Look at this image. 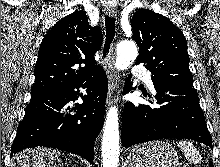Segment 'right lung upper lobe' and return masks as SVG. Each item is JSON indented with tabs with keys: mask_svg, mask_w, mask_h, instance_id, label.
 I'll use <instances>...</instances> for the list:
<instances>
[{
	"mask_svg": "<svg viewBox=\"0 0 220 167\" xmlns=\"http://www.w3.org/2000/svg\"><path fill=\"white\" fill-rule=\"evenodd\" d=\"M103 42L98 26L89 25L84 11H75L59 20L44 36L35 66L31 94L66 87L94 75V54ZM85 64L84 67H76Z\"/></svg>",
	"mask_w": 220,
	"mask_h": 167,
	"instance_id": "right-lung-upper-lobe-1",
	"label": "right lung upper lobe"
}]
</instances>
